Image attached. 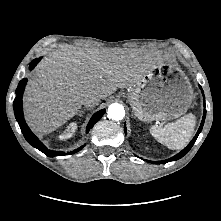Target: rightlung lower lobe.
Wrapping results in <instances>:
<instances>
[{
  "label": "right lung lower lobe",
  "mask_w": 221,
  "mask_h": 221,
  "mask_svg": "<svg viewBox=\"0 0 221 221\" xmlns=\"http://www.w3.org/2000/svg\"><path fill=\"white\" fill-rule=\"evenodd\" d=\"M41 60V58L38 59H34L31 63H30V67L29 69L32 70L37 63ZM27 79H23L19 82L18 87L16 89V93L17 96L14 100L13 103V108H14V113H15V117L16 120L18 121V124L21 128V131L25 137V139L35 148H37L38 150H40L41 152H43L45 155L49 156V157H54V156H58V155H64V153L59 152V151H52V150H48L45 145L31 132V130L29 129V127L27 126L25 120H24V116H23V109H22V95L25 89V85H26ZM105 112V109H102L98 112H96L92 118L90 119L87 128H86V132L88 133L89 130L92 128V126L100 120V118L103 116ZM83 148L80 147L76 150H74L73 152L67 153V154H72V153H76L79 150H81Z\"/></svg>",
  "instance_id": "1"
}]
</instances>
